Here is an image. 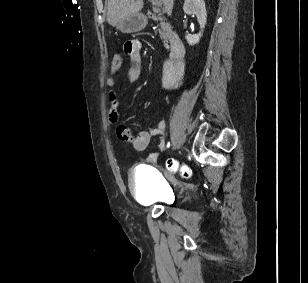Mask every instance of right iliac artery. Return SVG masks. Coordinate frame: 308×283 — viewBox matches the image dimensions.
Returning a JSON list of instances; mask_svg holds the SVG:
<instances>
[{
    "label": "right iliac artery",
    "mask_w": 308,
    "mask_h": 283,
    "mask_svg": "<svg viewBox=\"0 0 308 283\" xmlns=\"http://www.w3.org/2000/svg\"><path fill=\"white\" fill-rule=\"evenodd\" d=\"M170 146V142H168V144H167V147H169Z\"/></svg>",
    "instance_id": "1"
}]
</instances>
